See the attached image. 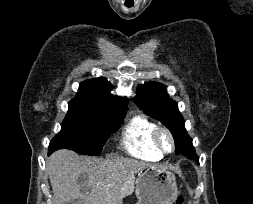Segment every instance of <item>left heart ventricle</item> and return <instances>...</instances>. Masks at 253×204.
<instances>
[{
	"instance_id": "left-heart-ventricle-1",
	"label": "left heart ventricle",
	"mask_w": 253,
	"mask_h": 204,
	"mask_svg": "<svg viewBox=\"0 0 253 204\" xmlns=\"http://www.w3.org/2000/svg\"><path fill=\"white\" fill-rule=\"evenodd\" d=\"M161 140H162V145L164 149L169 150L171 147L169 138L166 135H163Z\"/></svg>"
}]
</instances>
